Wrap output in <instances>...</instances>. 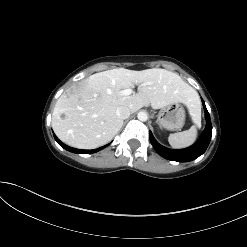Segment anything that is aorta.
Wrapping results in <instances>:
<instances>
[{"label": "aorta", "mask_w": 247, "mask_h": 247, "mask_svg": "<svg viewBox=\"0 0 247 247\" xmlns=\"http://www.w3.org/2000/svg\"><path fill=\"white\" fill-rule=\"evenodd\" d=\"M137 117L140 121H146L148 119V115L145 111H140Z\"/></svg>", "instance_id": "762f6f07"}]
</instances>
